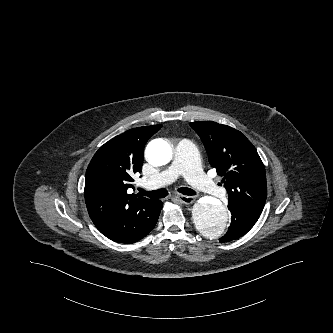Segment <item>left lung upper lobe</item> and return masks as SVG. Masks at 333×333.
Segmentation results:
<instances>
[{"mask_svg":"<svg viewBox=\"0 0 333 333\" xmlns=\"http://www.w3.org/2000/svg\"><path fill=\"white\" fill-rule=\"evenodd\" d=\"M190 126L201 137L209 162L223 176L228 207L259 215L265 205V168L253 144L238 130L212 121Z\"/></svg>","mask_w":333,"mask_h":333,"instance_id":"obj_1","label":"left lung upper lobe"}]
</instances>
